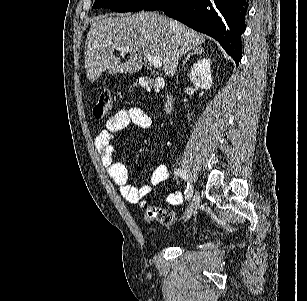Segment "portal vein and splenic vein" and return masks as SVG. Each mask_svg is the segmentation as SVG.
Segmentation results:
<instances>
[{
  "label": "portal vein and splenic vein",
  "mask_w": 307,
  "mask_h": 301,
  "mask_svg": "<svg viewBox=\"0 0 307 301\" xmlns=\"http://www.w3.org/2000/svg\"><path fill=\"white\" fill-rule=\"evenodd\" d=\"M118 50H120L121 54H124V52H131L133 48H130V46H119ZM146 58H148L150 64H153L155 68L162 66V58L159 54H146Z\"/></svg>",
  "instance_id": "obj_1"
}]
</instances>
